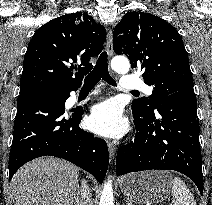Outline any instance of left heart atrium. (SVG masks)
<instances>
[{
    "mask_svg": "<svg viewBox=\"0 0 212 205\" xmlns=\"http://www.w3.org/2000/svg\"><path fill=\"white\" fill-rule=\"evenodd\" d=\"M87 124L91 131L106 137H118L127 128L121 107L113 100L93 106Z\"/></svg>",
    "mask_w": 212,
    "mask_h": 205,
    "instance_id": "1",
    "label": "left heart atrium"
}]
</instances>
